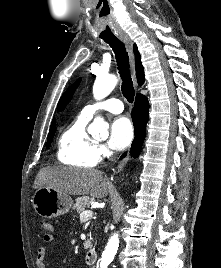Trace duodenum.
I'll return each instance as SVG.
<instances>
[{"mask_svg":"<svg viewBox=\"0 0 221 268\" xmlns=\"http://www.w3.org/2000/svg\"><path fill=\"white\" fill-rule=\"evenodd\" d=\"M98 259V252L96 249L91 248L87 251L85 261L88 265H94Z\"/></svg>","mask_w":221,"mask_h":268,"instance_id":"duodenum-1","label":"duodenum"}]
</instances>
